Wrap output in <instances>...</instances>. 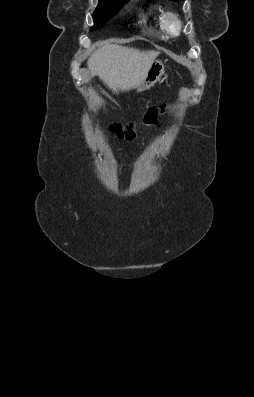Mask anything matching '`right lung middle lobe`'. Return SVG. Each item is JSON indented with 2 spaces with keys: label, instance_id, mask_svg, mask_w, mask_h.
Wrapping results in <instances>:
<instances>
[{
  "label": "right lung middle lobe",
  "instance_id": "1",
  "mask_svg": "<svg viewBox=\"0 0 254 397\" xmlns=\"http://www.w3.org/2000/svg\"><path fill=\"white\" fill-rule=\"evenodd\" d=\"M129 0H99L98 6L93 13L94 26L91 31L98 30L112 18L122 6Z\"/></svg>",
  "mask_w": 254,
  "mask_h": 397
}]
</instances>
